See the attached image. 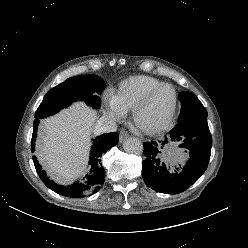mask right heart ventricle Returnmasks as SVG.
<instances>
[{"label": "right heart ventricle", "mask_w": 248, "mask_h": 248, "mask_svg": "<svg viewBox=\"0 0 248 248\" xmlns=\"http://www.w3.org/2000/svg\"><path fill=\"white\" fill-rule=\"evenodd\" d=\"M161 83L160 80L147 75L130 76L118 84L113 97L119 107L126 113L132 111L148 91Z\"/></svg>", "instance_id": "obj_1"}]
</instances>
